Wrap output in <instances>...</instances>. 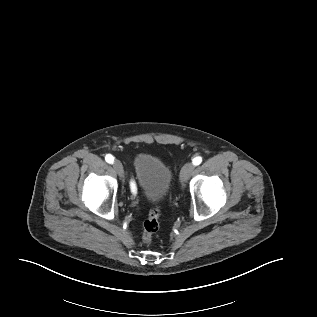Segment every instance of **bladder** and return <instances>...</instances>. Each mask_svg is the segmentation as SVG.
Returning <instances> with one entry per match:
<instances>
[{
  "label": "bladder",
  "mask_w": 317,
  "mask_h": 317,
  "mask_svg": "<svg viewBox=\"0 0 317 317\" xmlns=\"http://www.w3.org/2000/svg\"><path fill=\"white\" fill-rule=\"evenodd\" d=\"M136 181L143 195L151 201L164 199L172 184L170 168L159 158L140 153L134 158Z\"/></svg>",
  "instance_id": "obj_1"
}]
</instances>
